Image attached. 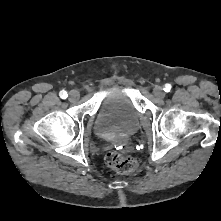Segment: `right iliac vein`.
Masks as SVG:
<instances>
[{
	"mask_svg": "<svg viewBox=\"0 0 221 221\" xmlns=\"http://www.w3.org/2000/svg\"><path fill=\"white\" fill-rule=\"evenodd\" d=\"M79 97H80V94H79V92L77 90L70 91V93H69V100L71 102H74V101L78 100Z\"/></svg>",
	"mask_w": 221,
	"mask_h": 221,
	"instance_id": "right-iliac-vein-1",
	"label": "right iliac vein"
}]
</instances>
